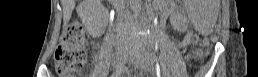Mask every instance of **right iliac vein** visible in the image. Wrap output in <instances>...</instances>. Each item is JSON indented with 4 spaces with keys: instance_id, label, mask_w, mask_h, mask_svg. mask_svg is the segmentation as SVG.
<instances>
[{
    "instance_id": "right-iliac-vein-1",
    "label": "right iliac vein",
    "mask_w": 258,
    "mask_h": 77,
    "mask_svg": "<svg viewBox=\"0 0 258 77\" xmlns=\"http://www.w3.org/2000/svg\"><path fill=\"white\" fill-rule=\"evenodd\" d=\"M123 60H124V55L121 54H116L115 59H114V67L116 69V72H121L123 69Z\"/></svg>"
}]
</instances>
